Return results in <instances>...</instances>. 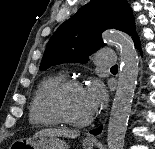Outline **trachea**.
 <instances>
[{"instance_id":"obj_1","label":"trachea","mask_w":155,"mask_h":149,"mask_svg":"<svg viewBox=\"0 0 155 149\" xmlns=\"http://www.w3.org/2000/svg\"><path fill=\"white\" fill-rule=\"evenodd\" d=\"M111 69H118V66L114 65V66L111 67Z\"/></svg>"}]
</instances>
